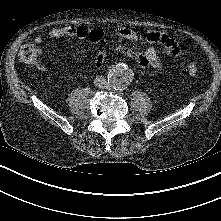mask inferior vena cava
Returning <instances> with one entry per match:
<instances>
[{
  "mask_svg": "<svg viewBox=\"0 0 221 221\" xmlns=\"http://www.w3.org/2000/svg\"><path fill=\"white\" fill-rule=\"evenodd\" d=\"M94 84L98 88H107L108 87V83L103 76H97L94 80Z\"/></svg>",
  "mask_w": 221,
  "mask_h": 221,
  "instance_id": "602c4592",
  "label": "inferior vena cava"
}]
</instances>
